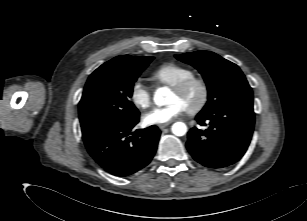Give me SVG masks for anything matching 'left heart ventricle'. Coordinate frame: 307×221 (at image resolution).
Returning a JSON list of instances; mask_svg holds the SVG:
<instances>
[{"instance_id":"b2bd125f","label":"left heart ventricle","mask_w":307,"mask_h":221,"mask_svg":"<svg viewBox=\"0 0 307 221\" xmlns=\"http://www.w3.org/2000/svg\"><path fill=\"white\" fill-rule=\"evenodd\" d=\"M200 98V90L197 86L191 87L188 91L185 93H178L174 90H171L168 102H174L177 101L181 103L184 108H190L197 104Z\"/></svg>"}]
</instances>
